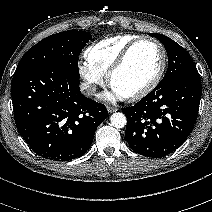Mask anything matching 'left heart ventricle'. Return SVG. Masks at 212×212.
Listing matches in <instances>:
<instances>
[{"label": "left heart ventricle", "mask_w": 212, "mask_h": 212, "mask_svg": "<svg viewBox=\"0 0 212 212\" xmlns=\"http://www.w3.org/2000/svg\"><path fill=\"white\" fill-rule=\"evenodd\" d=\"M161 53L152 43H141L134 48L124 67L112 80V88L120 94L130 96L146 86L157 73Z\"/></svg>", "instance_id": "b2bd125f"}]
</instances>
